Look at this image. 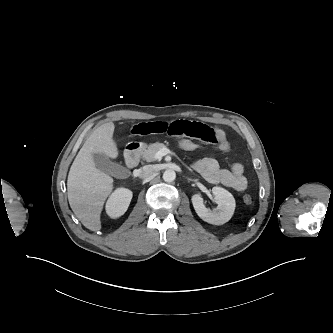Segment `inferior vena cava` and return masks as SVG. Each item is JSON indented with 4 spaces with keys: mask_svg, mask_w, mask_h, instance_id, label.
I'll list each match as a JSON object with an SVG mask.
<instances>
[{
    "mask_svg": "<svg viewBox=\"0 0 333 333\" xmlns=\"http://www.w3.org/2000/svg\"><path fill=\"white\" fill-rule=\"evenodd\" d=\"M157 172V168L154 165H146L139 169V177L146 179L151 177Z\"/></svg>",
    "mask_w": 333,
    "mask_h": 333,
    "instance_id": "1",
    "label": "inferior vena cava"
}]
</instances>
